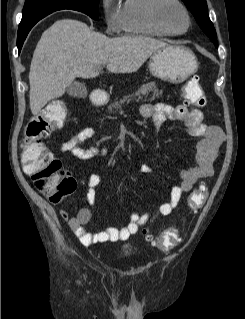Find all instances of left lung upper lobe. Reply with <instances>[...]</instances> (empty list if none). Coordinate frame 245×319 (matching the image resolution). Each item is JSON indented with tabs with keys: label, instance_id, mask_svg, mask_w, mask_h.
Returning <instances> with one entry per match:
<instances>
[{
	"label": "left lung upper lobe",
	"instance_id": "left-lung-upper-lobe-1",
	"mask_svg": "<svg viewBox=\"0 0 245 319\" xmlns=\"http://www.w3.org/2000/svg\"><path fill=\"white\" fill-rule=\"evenodd\" d=\"M194 15L203 32L217 47V36L215 28L208 15V7L205 0H182Z\"/></svg>",
	"mask_w": 245,
	"mask_h": 319
}]
</instances>
